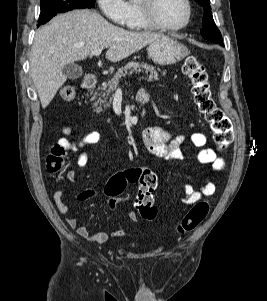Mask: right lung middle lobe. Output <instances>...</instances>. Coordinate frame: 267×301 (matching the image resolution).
<instances>
[{
  "label": "right lung middle lobe",
  "instance_id": "dd1d6c3e",
  "mask_svg": "<svg viewBox=\"0 0 267 301\" xmlns=\"http://www.w3.org/2000/svg\"><path fill=\"white\" fill-rule=\"evenodd\" d=\"M40 5L38 26L48 22L57 13L73 9L94 8L95 0H41Z\"/></svg>",
  "mask_w": 267,
  "mask_h": 301
}]
</instances>
